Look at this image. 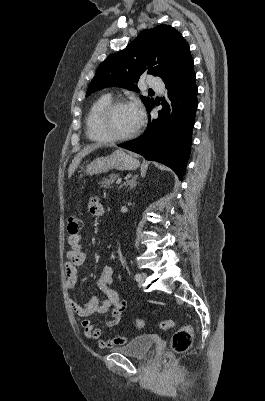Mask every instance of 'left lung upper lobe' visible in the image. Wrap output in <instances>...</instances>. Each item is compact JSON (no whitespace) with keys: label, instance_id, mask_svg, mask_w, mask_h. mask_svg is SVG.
<instances>
[{"label":"left lung upper lobe","instance_id":"left-lung-upper-lobe-1","mask_svg":"<svg viewBox=\"0 0 265 401\" xmlns=\"http://www.w3.org/2000/svg\"><path fill=\"white\" fill-rule=\"evenodd\" d=\"M190 56L187 42L173 27L158 25L143 30L124 50L110 55L100 64L86 96L112 86L139 92L134 83L143 73L159 76L165 82ZM140 98L147 110L154 104L153 99Z\"/></svg>","mask_w":265,"mask_h":401}]
</instances>
